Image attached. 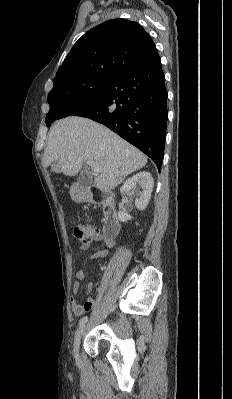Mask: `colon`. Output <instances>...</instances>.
Returning a JSON list of instances; mask_svg holds the SVG:
<instances>
[{"label":"colon","instance_id":"1","mask_svg":"<svg viewBox=\"0 0 232 399\" xmlns=\"http://www.w3.org/2000/svg\"><path fill=\"white\" fill-rule=\"evenodd\" d=\"M70 236L82 239V244H89L93 240V226L90 222H74V231H70Z\"/></svg>","mask_w":232,"mask_h":399}]
</instances>
